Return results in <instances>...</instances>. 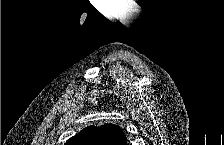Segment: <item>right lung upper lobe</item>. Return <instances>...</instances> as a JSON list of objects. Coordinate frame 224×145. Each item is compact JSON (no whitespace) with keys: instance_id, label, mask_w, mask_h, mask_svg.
<instances>
[{"instance_id":"obj_1","label":"right lung upper lobe","mask_w":224,"mask_h":145,"mask_svg":"<svg viewBox=\"0 0 224 145\" xmlns=\"http://www.w3.org/2000/svg\"><path fill=\"white\" fill-rule=\"evenodd\" d=\"M126 136L122 129L113 124L100 127L89 126L71 137L66 145H125Z\"/></svg>"}]
</instances>
